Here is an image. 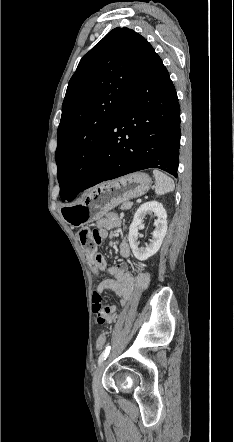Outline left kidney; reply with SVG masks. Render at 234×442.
I'll return each mask as SVG.
<instances>
[{
  "label": "left kidney",
  "instance_id": "5707ae66",
  "mask_svg": "<svg viewBox=\"0 0 234 442\" xmlns=\"http://www.w3.org/2000/svg\"><path fill=\"white\" fill-rule=\"evenodd\" d=\"M154 213L157 219L154 221L155 229L152 233V241L148 246L139 247L138 228L142 224L146 214ZM167 232V213L163 205L157 201H150L142 204L136 211L129 228V244L134 256L144 261L153 256L160 249Z\"/></svg>",
  "mask_w": 234,
  "mask_h": 442
}]
</instances>
